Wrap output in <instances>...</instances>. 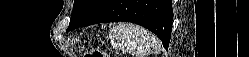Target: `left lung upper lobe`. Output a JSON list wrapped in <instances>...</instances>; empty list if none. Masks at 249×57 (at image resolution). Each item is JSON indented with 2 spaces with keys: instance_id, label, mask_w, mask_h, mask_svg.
Wrapping results in <instances>:
<instances>
[{
  "instance_id": "obj_1",
  "label": "left lung upper lobe",
  "mask_w": 249,
  "mask_h": 57,
  "mask_svg": "<svg viewBox=\"0 0 249 57\" xmlns=\"http://www.w3.org/2000/svg\"><path fill=\"white\" fill-rule=\"evenodd\" d=\"M108 0H75L68 30L79 27L93 17Z\"/></svg>"
}]
</instances>
